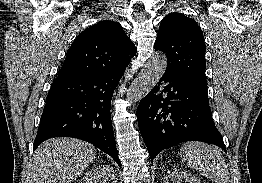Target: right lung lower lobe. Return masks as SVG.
I'll return each instance as SVG.
<instances>
[{
    "label": "right lung lower lobe",
    "instance_id": "right-lung-lower-lobe-1",
    "mask_svg": "<svg viewBox=\"0 0 262 183\" xmlns=\"http://www.w3.org/2000/svg\"><path fill=\"white\" fill-rule=\"evenodd\" d=\"M123 73L56 78L47 96L34 150L52 137H75L93 144L121 166L110 103Z\"/></svg>",
    "mask_w": 262,
    "mask_h": 183
}]
</instances>
